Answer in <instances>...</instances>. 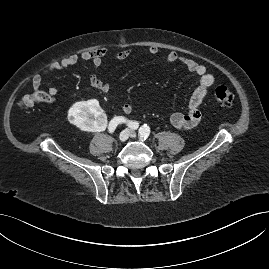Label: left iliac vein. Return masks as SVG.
<instances>
[{"label":"left iliac vein","instance_id":"4c4485c4","mask_svg":"<svg viewBox=\"0 0 269 269\" xmlns=\"http://www.w3.org/2000/svg\"><path fill=\"white\" fill-rule=\"evenodd\" d=\"M136 132L135 131H130V134H129V136L131 137V138H135L136 137Z\"/></svg>","mask_w":269,"mask_h":269}]
</instances>
